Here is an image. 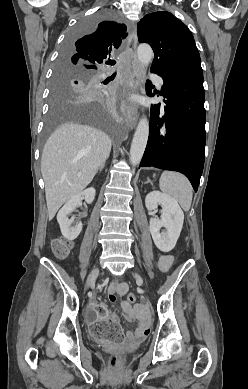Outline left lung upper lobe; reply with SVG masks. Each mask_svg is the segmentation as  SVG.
Listing matches in <instances>:
<instances>
[{
	"instance_id": "5c2ea615",
	"label": "left lung upper lobe",
	"mask_w": 248,
	"mask_h": 389,
	"mask_svg": "<svg viewBox=\"0 0 248 389\" xmlns=\"http://www.w3.org/2000/svg\"><path fill=\"white\" fill-rule=\"evenodd\" d=\"M140 43H148L154 51L151 70L163 76L200 70L201 61L193 35L187 26L167 11L144 16L138 24Z\"/></svg>"
}]
</instances>
